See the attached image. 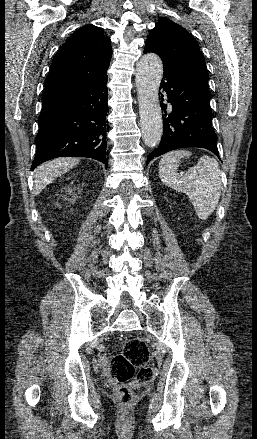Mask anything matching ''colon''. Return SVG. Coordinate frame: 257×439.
<instances>
[{"instance_id":"obj_1","label":"colon","mask_w":257,"mask_h":439,"mask_svg":"<svg viewBox=\"0 0 257 439\" xmlns=\"http://www.w3.org/2000/svg\"><path fill=\"white\" fill-rule=\"evenodd\" d=\"M108 377L117 400L123 405L130 404L134 399L132 387L146 384L154 377L146 343L139 338L129 339L122 352L111 360Z\"/></svg>"}]
</instances>
